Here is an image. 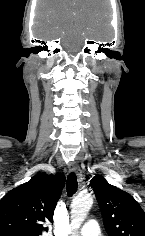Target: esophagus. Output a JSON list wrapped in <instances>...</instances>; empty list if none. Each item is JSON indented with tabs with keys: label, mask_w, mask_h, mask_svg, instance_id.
Wrapping results in <instances>:
<instances>
[{
	"label": "esophagus",
	"mask_w": 145,
	"mask_h": 236,
	"mask_svg": "<svg viewBox=\"0 0 145 236\" xmlns=\"http://www.w3.org/2000/svg\"><path fill=\"white\" fill-rule=\"evenodd\" d=\"M68 167H69V170H70L71 172L76 173V175H77V177H78L79 180L82 179V171H81V169L77 166L76 162H71V163H69Z\"/></svg>",
	"instance_id": "esophagus-1"
}]
</instances>
